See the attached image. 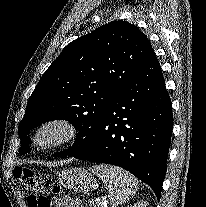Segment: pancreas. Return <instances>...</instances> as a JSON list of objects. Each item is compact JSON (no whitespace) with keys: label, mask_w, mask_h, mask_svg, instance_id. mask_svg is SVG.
Masks as SVG:
<instances>
[{"label":"pancreas","mask_w":206,"mask_h":207,"mask_svg":"<svg viewBox=\"0 0 206 207\" xmlns=\"http://www.w3.org/2000/svg\"><path fill=\"white\" fill-rule=\"evenodd\" d=\"M91 205H93V207H99L98 204L96 202H94L93 200L89 201Z\"/></svg>","instance_id":"obj_1"}]
</instances>
